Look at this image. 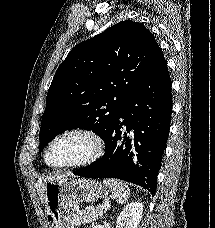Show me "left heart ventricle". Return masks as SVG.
<instances>
[{
    "label": "left heart ventricle",
    "instance_id": "left-heart-ventricle-1",
    "mask_svg": "<svg viewBox=\"0 0 215 228\" xmlns=\"http://www.w3.org/2000/svg\"><path fill=\"white\" fill-rule=\"evenodd\" d=\"M89 149L86 139L79 136H69L60 139L50 148L47 162L51 166H61L82 157Z\"/></svg>",
    "mask_w": 215,
    "mask_h": 228
}]
</instances>
